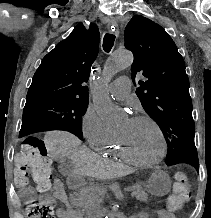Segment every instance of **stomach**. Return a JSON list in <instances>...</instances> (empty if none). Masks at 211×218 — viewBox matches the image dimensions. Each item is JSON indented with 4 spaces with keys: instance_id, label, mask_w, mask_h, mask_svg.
<instances>
[{
    "instance_id": "0dacf381",
    "label": "stomach",
    "mask_w": 211,
    "mask_h": 218,
    "mask_svg": "<svg viewBox=\"0 0 211 218\" xmlns=\"http://www.w3.org/2000/svg\"><path fill=\"white\" fill-rule=\"evenodd\" d=\"M145 187L151 194L163 196L169 192L171 180L167 173L157 170L150 176Z\"/></svg>"
}]
</instances>
